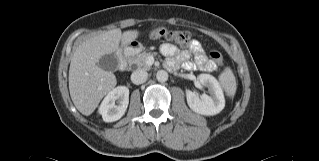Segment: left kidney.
<instances>
[{
	"mask_svg": "<svg viewBox=\"0 0 319 161\" xmlns=\"http://www.w3.org/2000/svg\"><path fill=\"white\" fill-rule=\"evenodd\" d=\"M199 82L202 86L209 88L210 96L206 94L199 96L196 92L186 90V99L189 107L201 115L218 114L225 106V99L220 84L209 74H200Z\"/></svg>",
	"mask_w": 319,
	"mask_h": 161,
	"instance_id": "5707ae66",
	"label": "left kidney"
}]
</instances>
